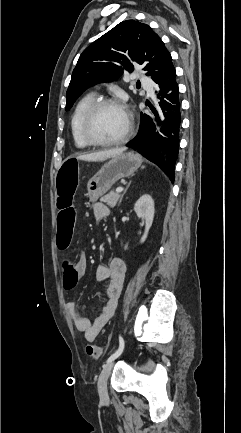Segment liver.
<instances>
[{
  "instance_id": "obj_1",
  "label": "liver",
  "mask_w": 241,
  "mask_h": 433,
  "mask_svg": "<svg viewBox=\"0 0 241 433\" xmlns=\"http://www.w3.org/2000/svg\"><path fill=\"white\" fill-rule=\"evenodd\" d=\"M125 150L126 148L111 149L108 151H101V152L91 153L87 155H81L78 156L77 159L84 160V161H104L108 158H112L120 153H123Z\"/></svg>"
}]
</instances>
